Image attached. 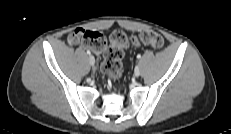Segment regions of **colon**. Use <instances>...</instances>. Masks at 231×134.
Listing matches in <instances>:
<instances>
[{
	"mask_svg": "<svg viewBox=\"0 0 231 134\" xmlns=\"http://www.w3.org/2000/svg\"><path fill=\"white\" fill-rule=\"evenodd\" d=\"M74 39L96 54L103 53L102 70L112 79H118L121 75L123 50L128 44L132 46L145 45L155 49H160L164 45L163 37L155 31H144L138 36L128 38L124 32L116 30L111 34L110 44L107 45V41L101 33L77 29L74 31Z\"/></svg>",
	"mask_w": 231,
	"mask_h": 134,
	"instance_id": "1",
	"label": "colon"
}]
</instances>
